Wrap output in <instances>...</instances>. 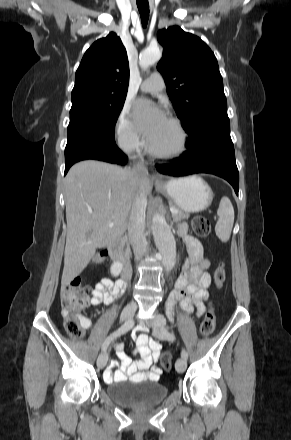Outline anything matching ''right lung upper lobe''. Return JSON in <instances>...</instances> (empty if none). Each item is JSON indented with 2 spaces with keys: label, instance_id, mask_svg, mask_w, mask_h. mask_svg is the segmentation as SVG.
Masks as SVG:
<instances>
[{
  "label": "right lung upper lobe",
  "instance_id": "obj_1",
  "mask_svg": "<svg viewBox=\"0 0 291 440\" xmlns=\"http://www.w3.org/2000/svg\"><path fill=\"white\" fill-rule=\"evenodd\" d=\"M129 63L121 39L111 32L85 52L76 71L72 102L84 99L126 98Z\"/></svg>",
  "mask_w": 291,
  "mask_h": 440
}]
</instances>
